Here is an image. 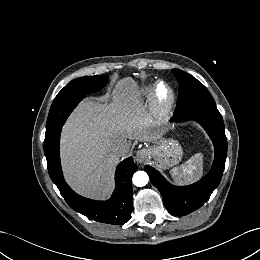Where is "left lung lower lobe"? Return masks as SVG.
<instances>
[{"mask_svg": "<svg viewBox=\"0 0 260 260\" xmlns=\"http://www.w3.org/2000/svg\"><path fill=\"white\" fill-rule=\"evenodd\" d=\"M193 119L199 122L211 137L215 147V159L210 172L199 182L186 186L170 185L154 168L145 166L152 184L160 191L169 213L176 216L187 215L200 208L218 186L227 157V138L224 123L216 106H195L175 114L171 121Z\"/></svg>", "mask_w": 260, "mask_h": 260, "instance_id": "0a47b994", "label": "left lung lower lobe"}]
</instances>
